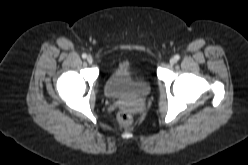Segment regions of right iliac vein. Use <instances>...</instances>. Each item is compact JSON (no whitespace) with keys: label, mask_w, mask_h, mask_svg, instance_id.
<instances>
[{"label":"right iliac vein","mask_w":248,"mask_h":165,"mask_svg":"<svg viewBox=\"0 0 248 165\" xmlns=\"http://www.w3.org/2000/svg\"><path fill=\"white\" fill-rule=\"evenodd\" d=\"M87 62H88L89 64H91V63L93 62V57L89 55V56L87 57Z\"/></svg>","instance_id":"right-iliac-vein-1"}]
</instances>
